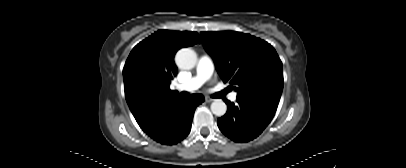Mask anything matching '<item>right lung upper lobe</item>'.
I'll return each mask as SVG.
<instances>
[{
	"mask_svg": "<svg viewBox=\"0 0 406 168\" xmlns=\"http://www.w3.org/2000/svg\"><path fill=\"white\" fill-rule=\"evenodd\" d=\"M198 42L197 32L158 30L133 48L123 77L125 97L138 124L178 96L169 88L177 73L174 55Z\"/></svg>",
	"mask_w": 406,
	"mask_h": 168,
	"instance_id": "right-lung-upper-lobe-1",
	"label": "right lung upper lobe"
}]
</instances>
